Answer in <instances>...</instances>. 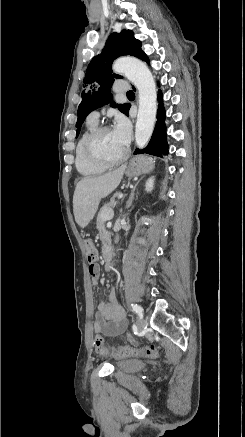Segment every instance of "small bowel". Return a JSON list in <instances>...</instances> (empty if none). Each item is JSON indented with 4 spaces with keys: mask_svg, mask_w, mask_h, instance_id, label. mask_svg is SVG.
<instances>
[{
    "mask_svg": "<svg viewBox=\"0 0 245 437\" xmlns=\"http://www.w3.org/2000/svg\"><path fill=\"white\" fill-rule=\"evenodd\" d=\"M89 273L92 283L98 285L100 280L99 266L96 264L94 270L92 272L89 271ZM126 328V317L115 296L114 290H111L109 301L100 300L97 304L94 330L111 337L123 334Z\"/></svg>",
    "mask_w": 245,
    "mask_h": 437,
    "instance_id": "obj_1",
    "label": "small bowel"
}]
</instances>
